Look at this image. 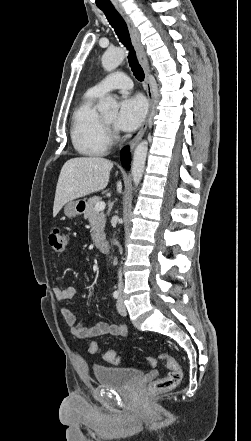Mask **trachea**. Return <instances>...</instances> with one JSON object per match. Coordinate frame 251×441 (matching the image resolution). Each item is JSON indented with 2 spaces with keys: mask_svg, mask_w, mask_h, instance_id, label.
I'll use <instances>...</instances> for the list:
<instances>
[{
  "mask_svg": "<svg viewBox=\"0 0 251 441\" xmlns=\"http://www.w3.org/2000/svg\"><path fill=\"white\" fill-rule=\"evenodd\" d=\"M100 9L104 12L105 16L107 17V20L114 29L116 35L119 38V41L129 50L128 60L134 76L139 81H143L144 71L140 66V64L138 63L136 53L131 44V39L126 22L115 8H100Z\"/></svg>",
  "mask_w": 251,
  "mask_h": 441,
  "instance_id": "3493384b",
  "label": "trachea"
}]
</instances>
